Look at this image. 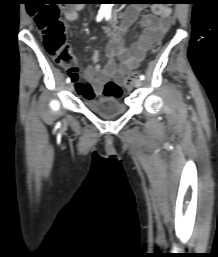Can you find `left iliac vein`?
Listing matches in <instances>:
<instances>
[{"mask_svg": "<svg viewBox=\"0 0 218 257\" xmlns=\"http://www.w3.org/2000/svg\"><path fill=\"white\" fill-rule=\"evenodd\" d=\"M135 86L138 88V87H141L142 86V80L141 79H137L135 81Z\"/></svg>", "mask_w": 218, "mask_h": 257, "instance_id": "obj_1", "label": "left iliac vein"}]
</instances>
